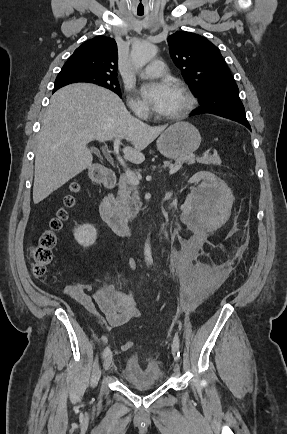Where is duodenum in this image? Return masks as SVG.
<instances>
[{"label": "duodenum", "mask_w": 287, "mask_h": 434, "mask_svg": "<svg viewBox=\"0 0 287 434\" xmlns=\"http://www.w3.org/2000/svg\"><path fill=\"white\" fill-rule=\"evenodd\" d=\"M91 176L95 181L103 183L111 191L101 200L100 214L102 219L111 227L116 235L130 237L131 229L128 221L116 214L114 209L115 197L112 191L117 182L116 173L108 168H93L91 169Z\"/></svg>", "instance_id": "duodenum-1"}]
</instances>
